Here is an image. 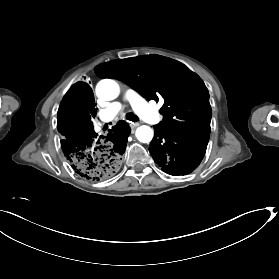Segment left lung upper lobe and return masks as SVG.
Wrapping results in <instances>:
<instances>
[{
    "instance_id": "1",
    "label": "left lung upper lobe",
    "mask_w": 279,
    "mask_h": 279,
    "mask_svg": "<svg viewBox=\"0 0 279 279\" xmlns=\"http://www.w3.org/2000/svg\"><path fill=\"white\" fill-rule=\"evenodd\" d=\"M100 78H115L146 100H164L158 126L183 134L210 135L211 106L201 78L184 64L160 55L117 59L95 67Z\"/></svg>"
}]
</instances>
